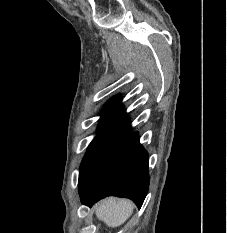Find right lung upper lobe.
I'll return each mask as SVG.
<instances>
[{"label": "right lung upper lobe", "instance_id": "cb5924a9", "mask_svg": "<svg viewBox=\"0 0 227 233\" xmlns=\"http://www.w3.org/2000/svg\"><path fill=\"white\" fill-rule=\"evenodd\" d=\"M131 132L129 118L118 96L111 99L102 111L98 135H115L119 138Z\"/></svg>", "mask_w": 227, "mask_h": 233}]
</instances>
